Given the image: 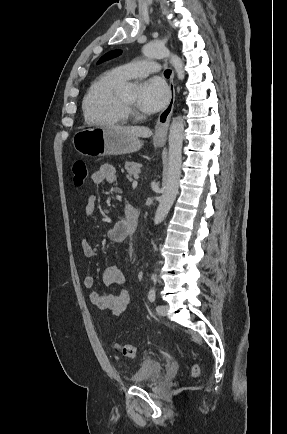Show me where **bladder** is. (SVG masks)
Listing matches in <instances>:
<instances>
[{"label": "bladder", "mask_w": 287, "mask_h": 434, "mask_svg": "<svg viewBox=\"0 0 287 434\" xmlns=\"http://www.w3.org/2000/svg\"><path fill=\"white\" fill-rule=\"evenodd\" d=\"M163 371V365L156 359L146 358L133 373L130 382L136 386H146L156 381Z\"/></svg>", "instance_id": "1"}]
</instances>
